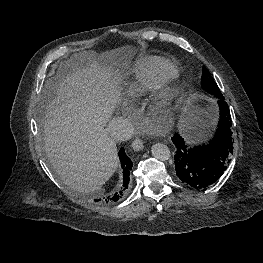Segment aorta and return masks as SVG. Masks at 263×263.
Masks as SVG:
<instances>
[{
  "label": "aorta",
  "mask_w": 263,
  "mask_h": 263,
  "mask_svg": "<svg viewBox=\"0 0 263 263\" xmlns=\"http://www.w3.org/2000/svg\"><path fill=\"white\" fill-rule=\"evenodd\" d=\"M151 153L154 158L161 161H167L171 156V152L168 146L162 143L154 144L151 147Z\"/></svg>",
  "instance_id": "obj_1"
}]
</instances>
